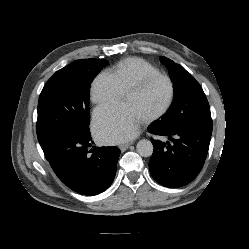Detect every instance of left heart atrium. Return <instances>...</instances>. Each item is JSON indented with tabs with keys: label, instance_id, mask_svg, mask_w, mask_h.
<instances>
[{
	"label": "left heart atrium",
	"instance_id": "obj_1",
	"mask_svg": "<svg viewBox=\"0 0 249 249\" xmlns=\"http://www.w3.org/2000/svg\"><path fill=\"white\" fill-rule=\"evenodd\" d=\"M140 120L130 105L108 104L95 110L93 131L101 142L116 144L134 137Z\"/></svg>",
	"mask_w": 249,
	"mask_h": 249
}]
</instances>
